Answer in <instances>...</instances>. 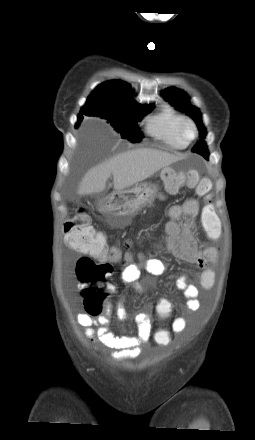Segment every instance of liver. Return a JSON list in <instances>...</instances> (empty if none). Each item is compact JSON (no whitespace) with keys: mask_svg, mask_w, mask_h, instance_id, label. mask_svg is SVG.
I'll list each match as a JSON object with an SVG mask.
<instances>
[{"mask_svg":"<svg viewBox=\"0 0 255 440\" xmlns=\"http://www.w3.org/2000/svg\"><path fill=\"white\" fill-rule=\"evenodd\" d=\"M180 159V155L150 148L127 151L90 169L80 182L77 193L90 195L103 192L111 175L114 189L121 191Z\"/></svg>","mask_w":255,"mask_h":440,"instance_id":"obj_1","label":"liver"}]
</instances>
